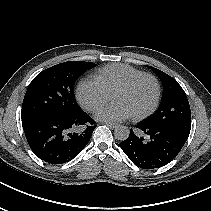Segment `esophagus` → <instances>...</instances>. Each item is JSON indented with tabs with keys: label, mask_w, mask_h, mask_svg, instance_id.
<instances>
[{
	"label": "esophagus",
	"mask_w": 211,
	"mask_h": 211,
	"mask_svg": "<svg viewBox=\"0 0 211 211\" xmlns=\"http://www.w3.org/2000/svg\"><path fill=\"white\" fill-rule=\"evenodd\" d=\"M105 125H107L110 128H115L117 126V124L115 123H110V122H104Z\"/></svg>",
	"instance_id": "1"
}]
</instances>
